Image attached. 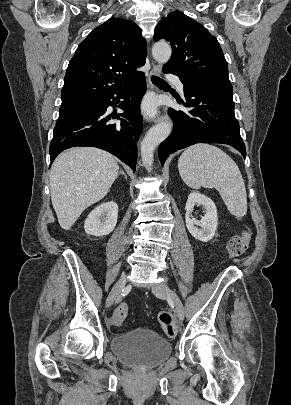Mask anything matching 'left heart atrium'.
<instances>
[{
  "instance_id": "39dd6f15",
  "label": "left heart atrium",
  "mask_w": 291,
  "mask_h": 405,
  "mask_svg": "<svg viewBox=\"0 0 291 405\" xmlns=\"http://www.w3.org/2000/svg\"><path fill=\"white\" fill-rule=\"evenodd\" d=\"M154 107H155L154 102H153V101H149V102H147L146 105H145V110H146L148 113H152L153 110H154Z\"/></svg>"
}]
</instances>
